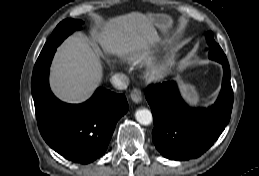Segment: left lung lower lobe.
Returning <instances> with one entry per match:
<instances>
[{
	"instance_id": "obj_1",
	"label": "left lung lower lobe",
	"mask_w": 259,
	"mask_h": 176,
	"mask_svg": "<svg viewBox=\"0 0 259 176\" xmlns=\"http://www.w3.org/2000/svg\"><path fill=\"white\" fill-rule=\"evenodd\" d=\"M224 69L221 92L208 109H193L182 100L175 82L152 85L145 96L154 121L153 142L171 160H189L206 152L219 138L230 120L233 91L230 67Z\"/></svg>"
}]
</instances>
